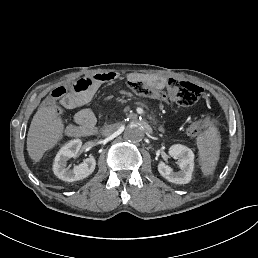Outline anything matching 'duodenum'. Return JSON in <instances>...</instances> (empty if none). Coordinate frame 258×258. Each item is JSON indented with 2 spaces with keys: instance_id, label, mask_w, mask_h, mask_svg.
I'll return each mask as SVG.
<instances>
[{
  "instance_id": "duodenum-1",
  "label": "duodenum",
  "mask_w": 258,
  "mask_h": 258,
  "mask_svg": "<svg viewBox=\"0 0 258 258\" xmlns=\"http://www.w3.org/2000/svg\"><path fill=\"white\" fill-rule=\"evenodd\" d=\"M118 76L115 73H96L93 75L89 76V80L97 85L113 81L117 78ZM87 135L85 132H80L79 136H84Z\"/></svg>"
}]
</instances>
